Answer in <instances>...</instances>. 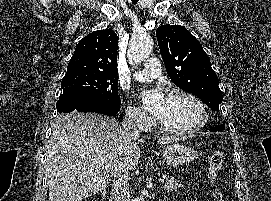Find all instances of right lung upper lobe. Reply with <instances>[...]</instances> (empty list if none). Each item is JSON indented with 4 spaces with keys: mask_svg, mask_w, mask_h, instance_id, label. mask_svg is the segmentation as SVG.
Wrapping results in <instances>:
<instances>
[{
    "mask_svg": "<svg viewBox=\"0 0 271 201\" xmlns=\"http://www.w3.org/2000/svg\"><path fill=\"white\" fill-rule=\"evenodd\" d=\"M118 36L113 30H97L81 39L67 66L70 71L117 75Z\"/></svg>",
    "mask_w": 271,
    "mask_h": 201,
    "instance_id": "right-lung-upper-lobe-1",
    "label": "right lung upper lobe"
}]
</instances>
